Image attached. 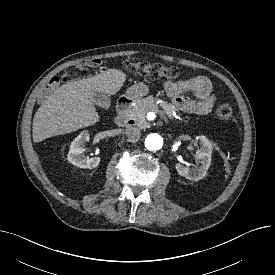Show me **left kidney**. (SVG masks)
<instances>
[{
    "instance_id": "5707ae66",
    "label": "left kidney",
    "mask_w": 275,
    "mask_h": 275,
    "mask_svg": "<svg viewBox=\"0 0 275 275\" xmlns=\"http://www.w3.org/2000/svg\"><path fill=\"white\" fill-rule=\"evenodd\" d=\"M199 140L201 147L196 151L195 158L200 166L189 168L181 163L175 165L178 174L191 181H198L205 177L211 164L212 144L204 135L199 136Z\"/></svg>"
}]
</instances>
